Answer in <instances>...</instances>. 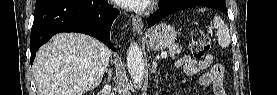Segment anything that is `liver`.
<instances>
[{
	"instance_id": "liver-1",
	"label": "liver",
	"mask_w": 277,
	"mask_h": 95,
	"mask_svg": "<svg viewBox=\"0 0 277 95\" xmlns=\"http://www.w3.org/2000/svg\"><path fill=\"white\" fill-rule=\"evenodd\" d=\"M110 55L91 36L56 34L37 51L33 64L39 95H84L100 84Z\"/></svg>"
}]
</instances>
